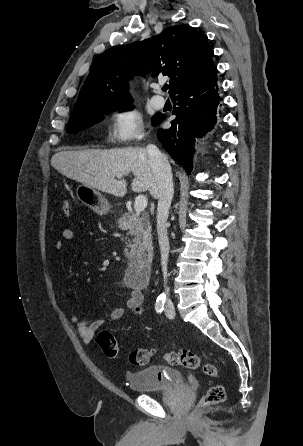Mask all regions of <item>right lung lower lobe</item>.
Instances as JSON below:
<instances>
[{
	"instance_id": "right-lung-lower-lobe-1",
	"label": "right lung lower lobe",
	"mask_w": 303,
	"mask_h": 446,
	"mask_svg": "<svg viewBox=\"0 0 303 446\" xmlns=\"http://www.w3.org/2000/svg\"><path fill=\"white\" fill-rule=\"evenodd\" d=\"M217 76L191 85L174 93L171 98L175 105L176 118L172 126L157 131L158 140L171 157L178 161L187 173L192 170V152L195 137L209 131L216 123L217 108L221 105ZM165 118L160 114L156 125Z\"/></svg>"
}]
</instances>
